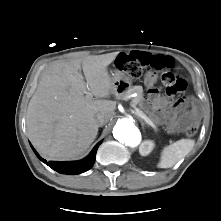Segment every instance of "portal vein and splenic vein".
<instances>
[{"mask_svg": "<svg viewBox=\"0 0 221 221\" xmlns=\"http://www.w3.org/2000/svg\"><path fill=\"white\" fill-rule=\"evenodd\" d=\"M131 107L134 109L135 113L142 118L147 124L153 127L155 130H158L157 127L149 120V118L139 109L136 107L135 104L131 103Z\"/></svg>", "mask_w": 221, "mask_h": 221, "instance_id": "portal-vein-and-splenic-vein-1", "label": "portal vein and splenic vein"}]
</instances>
